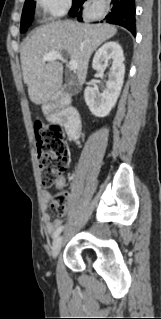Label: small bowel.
Returning a JSON list of instances; mask_svg holds the SVG:
<instances>
[{
  "label": "small bowel",
  "instance_id": "small-bowel-1",
  "mask_svg": "<svg viewBox=\"0 0 161 319\" xmlns=\"http://www.w3.org/2000/svg\"><path fill=\"white\" fill-rule=\"evenodd\" d=\"M65 184H66V180L64 177L58 179V181L56 182V189L62 190L65 187ZM51 200H52L51 193L48 190H44V192H43V208H44V210L47 209V206L49 205ZM42 220H43L45 232L48 235L53 234L62 224L61 220H59V219L51 220L49 213H47L46 211L43 214Z\"/></svg>",
  "mask_w": 161,
  "mask_h": 319
}]
</instances>
